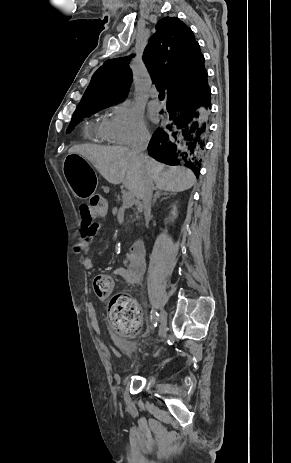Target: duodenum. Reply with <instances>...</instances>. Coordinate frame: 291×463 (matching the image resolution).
Instances as JSON below:
<instances>
[{"label":"duodenum","mask_w":291,"mask_h":463,"mask_svg":"<svg viewBox=\"0 0 291 463\" xmlns=\"http://www.w3.org/2000/svg\"><path fill=\"white\" fill-rule=\"evenodd\" d=\"M131 253L135 256H143L145 253L144 240L137 239L131 247Z\"/></svg>","instance_id":"410a0bca"}]
</instances>
